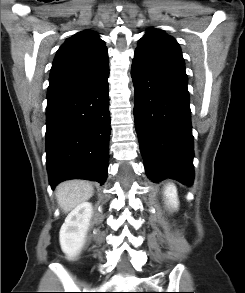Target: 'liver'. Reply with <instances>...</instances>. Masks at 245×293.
<instances>
[{
    "instance_id": "1",
    "label": "liver",
    "mask_w": 245,
    "mask_h": 293,
    "mask_svg": "<svg viewBox=\"0 0 245 293\" xmlns=\"http://www.w3.org/2000/svg\"><path fill=\"white\" fill-rule=\"evenodd\" d=\"M56 198L64 213L73 210L93 195L92 185L84 180H69L56 187Z\"/></svg>"
}]
</instances>
